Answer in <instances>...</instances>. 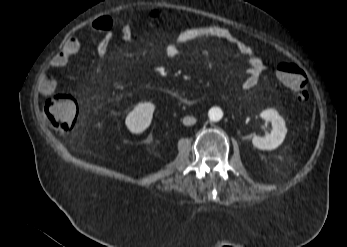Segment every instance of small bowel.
Instances as JSON below:
<instances>
[{
  "label": "small bowel",
  "mask_w": 347,
  "mask_h": 247,
  "mask_svg": "<svg viewBox=\"0 0 347 247\" xmlns=\"http://www.w3.org/2000/svg\"><path fill=\"white\" fill-rule=\"evenodd\" d=\"M113 20L109 16L96 18L91 23V28L95 31H103L107 34L111 31ZM132 38V27L124 26L121 32V40L125 43L130 42ZM208 39L222 40L233 46L236 53L243 58L249 65L250 72H247L246 78L241 84L243 90L254 88L259 79V74L264 70L265 63L262 58L254 54L252 47L229 28L219 25H191L180 31L175 40L164 49V55L167 59L173 60L178 57L182 46L193 42ZM110 36H105L96 46L98 59H102L108 48ZM81 43L77 37L68 38L62 45L61 50L55 54L49 61L50 69H61L66 66L69 60L80 52ZM37 88L45 96H50L57 89L55 78L48 71L39 75L37 79Z\"/></svg>",
  "instance_id": "small-bowel-1"
}]
</instances>
